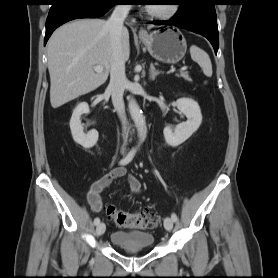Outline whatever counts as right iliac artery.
Masks as SVG:
<instances>
[{"mask_svg":"<svg viewBox=\"0 0 278 278\" xmlns=\"http://www.w3.org/2000/svg\"><path fill=\"white\" fill-rule=\"evenodd\" d=\"M135 155V150H131L119 163L120 165H127L133 159ZM100 223V219L97 217L94 219V224L98 225Z\"/></svg>","mask_w":278,"mask_h":278,"instance_id":"obj_1","label":"right iliac artery"}]
</instances>
